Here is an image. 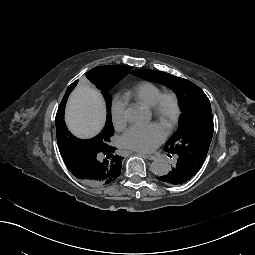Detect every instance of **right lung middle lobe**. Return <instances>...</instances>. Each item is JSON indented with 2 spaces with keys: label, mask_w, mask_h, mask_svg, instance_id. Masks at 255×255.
<instances>
[{
  "label": "right lung middle lobe",
  "mask_w": 255,
  "mask_h": 255,
  "mask_svg": "<svg viewBox=\"0 0 255 255\" xmlns=\"http://www.w3.org/2000/svg\"><path fill=\"white\" fill-rule=\"evenodd\" d=\"M131 67L127 66H98L92 73L90 81L99 89L103 94L107 105V121L106 124H112L111 119V103L112 96L108 92L111 87L119 82L125 75L131 71ZM73 149L76 152L86 154L90 151V144L86 141H76L73 144Z\"/></svg>",
  "instance_id": "1"
}]
</instances>
